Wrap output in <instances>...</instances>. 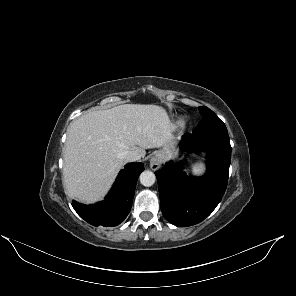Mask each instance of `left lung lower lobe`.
Here are the masks:
<instances>
[{"instance_id": "obj_1", "label": "left lung lower lobe", "mask_w": 296, "mask_h": 296, "mask_svg": "<svg viewBox=\"0 0 296 296\" xmlns=\"http://www.w3.org/2000/svg\"><path fill=\"white\" fill-rule=\"evenodd\" d=\"M180 148L207 152L205 176L188 177L179 163L171 161L155 175L164 217L176 226H192L208 217L225 193L231 160L228 131L186 134Z\"/></svg>"}]
</instances>
